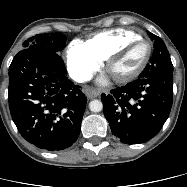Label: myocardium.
I'll list each match as a JSON object with an SVG mask.
<instances>
[{"instance_id": "myocardium-1", "label": "myocardium", "mask_w": 187, "mask_h": 187, "mask_svg": "<svg viewBox=\"0 0 187 187\" xmlns=\"http://www.w3.org/2000/svg\"><path fill=\"white\" fill-rule=\"evenodd\" d=\"M137 42H144L147 45V54L143 60V62L141 63V65L134 70L133 72L124 75V76H120V77H114V80L119 82V83H126L129 81L134 80L135 78H137L147 67L150 59H151V55H152V43L144 38V37H138V38H134L131 40H128L126 42H124L123 44H121L120 46H118L116 49H114L111 53L108 54V56L105 58V68L107 71H109V67L110 65L116 60L118 59L120 56L123 55V53L129 48L131 47L133 44L137 43Z\"/></svg>"}]
</instances>
